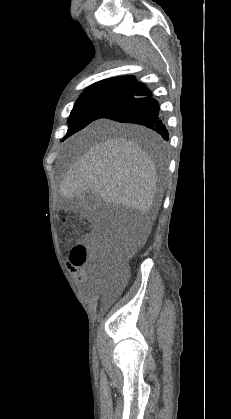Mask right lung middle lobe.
Here are the masks:
<instances>
[{"label":"right lung middle lobe","mask_w":231,"mask_h":419,"mask_svg":"<svg viewBox=\"0 0 231 419\" xmlns=\"http://www.w3.org/2000/svg\"><path fill=\"white\" fill-rule=\"evenodd\" d=\"M135 87L102 86L86 89L76 101L69 120L64 139L83 129L126 100Z\"/></svg>","instance_id":"obj_1"}]
</instances>
